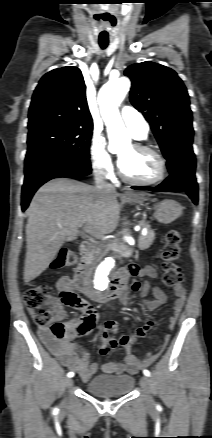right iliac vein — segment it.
I'll list each match as a JSON object with an SVG mask.
<instances>
[{"label": "right iliac vein", "mask_w": 212, "mask_h": 438, "mask_svg": "<svg viewBox=\"0 0 212 438\" xmlns=\"http://www.w3.org/2000/svg\"><path fill=\"white\" fill-rule=\"evenodd\" d=\"M65 385L67 388H70L73 385V380L71 378L66 379Z\"/></svg>", "instance_id": "63e3f726"}]
</instances>
